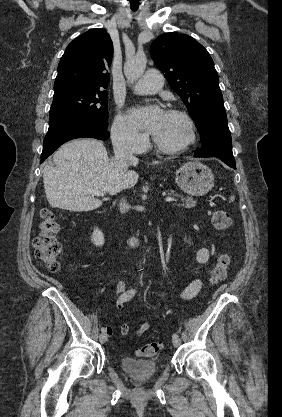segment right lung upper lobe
<instances>
[{"instance_id":"obj_1","label":"right lung upper lobe","mask_w":282,"mask_h":417,"mask_svg":"<svg viewBox=\"0 0 282 417\" xmlns=\"http://www.w3.org/2000/svg\"><path fill=\"white\" fill-rule=\"evenodd\" d=\"M113 43L105 29H90L66 48L58 65L54 92L76 88L106 89Z\"/></svg>"}]
</instances>
